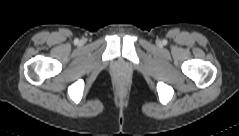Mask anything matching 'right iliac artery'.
<instances>
[{
  "label": "right iliac artery",
  "instance_id": "obj_1",
  "mask_svg": "<svg viewBox=\"0 0 239 136\" xmlns=\"http://www.w3.org/2000/svg\"><path fill=\"white\" fill-rule=\"evenodd\" d=\"M76 44L79 42V40L78 39H75V41H74Z\"/></svg>",
  "mask_w": 239,
  "mask_h": 136
}]
</instances>
